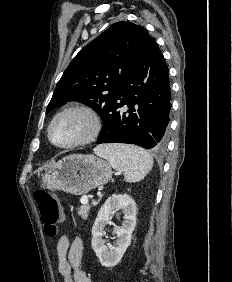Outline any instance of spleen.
Returning a JSON list of instances; mask_svg holds the SVG:
<instances>
[{"label":"spleen","instance_id":"spleen-1","mask_svg":"<svg viewBox=\"0 0 232 282\" xmlns=\"http://www.w3.org/2000/svg\"><path fill=\"white\" fill-rule=\"evenodd\" d=\"M94 152L106 158L114 169L122 172L128 182L140 181L153 166L152 156L137 146L109 144L96 147Z\"/></svg>","mask_w":232,"mask_h":282}]
</instances>
